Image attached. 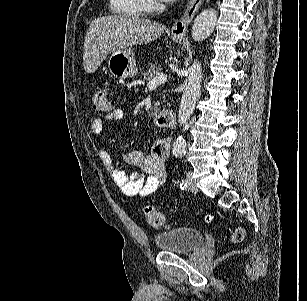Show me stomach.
<instances>
[{
	"label": "stomach",
	"instance_id": "stomach-1",
	"mask_svg": "<svg viewBox=\"0 0 307 301\" xmlns=\"http://www.w3.org/2000/svg\"><path fill=\"white\" fill-rule=\"evenodd\" d=\"M172 40L182 42L184 36L171 34ZM108 68L115 78H132L138 74V66L135 58L134 48L127 46L125 50H115L108 60Z\"/></svg>",
	"mask_w": 307,
	"mask_h": 301
}]
</instances>
